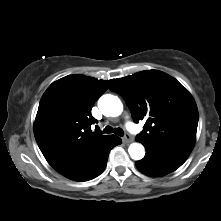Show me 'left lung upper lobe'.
<instances>
[{
    "label": "left lung upper lobe",
    "mask_w": 221,
    "mask_h": 221,
    "mask_svg": "<svg viewBox=\"0 0 221 221\" xmlns=\"http://www.w3.org/2000/svg\"><path fill=\"white\" fill-rule=\"evenodd\" d=\"M110 90L123 97L136 123L146 120L136 141L151 146L195 143L196 103L173 77L158 70L142 71L115 79Z\"/></svg>",
    "instance_id": "left-lung-upper-lobe-1"
}]
</instances>
